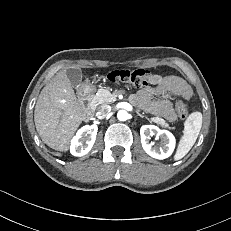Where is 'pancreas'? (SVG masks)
<instances>
[{
  "instance_id": "pancreas-1",
  "label": "pancreas",
  "mask_w": 231,
  "mask_h": 231,
  "mask_svg": "<svg viewBox=\"0 0 231 231\" xmlns=\"http://www.w3.org/2000/svg\"><path fill=\"white\" fill-rule=\"evenodd\" d=\"M116 96L117 95L115 93H111L109 90L101 88L97 91L96 95L93 97V102L96 104L112 103L116 101ZM151 121L163 126H168L166 121L159 117L151 118Z\"/></svg>"
}]
</instances>
